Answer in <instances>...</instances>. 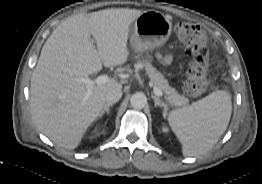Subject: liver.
Here are the masks:
<instances>
[{"label":"liver","mask_w":262,"mask_h":184,"mask_svg":"<svg viewBox=\"0 0 262 184\" xmlns=\"http://www.w3.org/2000/svg\"><path fill=\"white\" fill-rule=\"evenodd\" d=\"M141 13L119 8L73 15L45 42L31 77L30 107L38 130L56 145L77 148L101 113L107 92L122 88V82L112 78L87 94L80 79L100 71L102 65L119 66L128 60L129 26Z\"/></svg>","instance_id":"6515ba94"}]
</instances>
